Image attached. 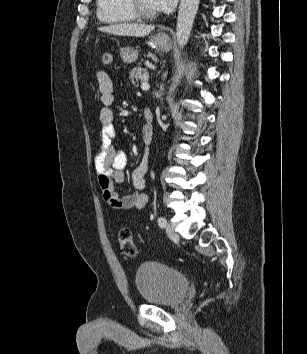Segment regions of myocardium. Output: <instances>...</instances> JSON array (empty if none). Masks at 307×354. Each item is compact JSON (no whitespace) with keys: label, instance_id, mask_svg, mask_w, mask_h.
I'll use <instances>...</instances> for the list:
<instances>
[{"label":"myocardium","instance_id":"myocardium-1","mask_svg":"<svg viewBox=\"0 0 307 354\" xmlns=\"http://www.w3.org/2000/svg\"><path fill=\"white\" fill-rule=\"evenodd\" d=\"M131 11L137 18L151 19L156 17V12L147 11L142 7L139 0H127Z\"/></svg>","mask_w":307,"mask_h":354}]
</instances>
